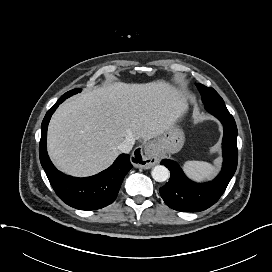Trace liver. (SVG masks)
Here are the masks:
<instances>
[{
  "label": "liver",
  "mask_w": 272,
  "mask_h": 272,
  "mask_svg": "<svg viewBox=\"0 0 272 272\" xmlns=\"http://www.w3.org/2000/svg\"><path fill=\"white\" fill-rule=\"evenodd\" d=\"M187 109L185 97L164 81L95 87L64 102L53 114L48 153L67 174L94 175L113 163L126 138H156Z\"/></svg>",
  "instance_id": "liver-1"
}]
</instances>
